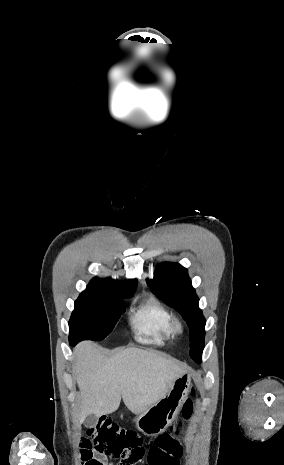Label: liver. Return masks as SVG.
<instances>
[{"label":"liver","mask_w":284,"mask_h":465,"mask_svg":"<svg viewBox=\"0 0 284 465\" xmlns=\"http://www.w3.org/2000/svg\"><path fill=\"white\" fill-rule=\"evenodd\" d=\"M73 353V373L81 391L79 425L88 415L114 413L121 399L131 413H144L165 397L175 379L186 373L184 365H177L174 359L134 347L105 357L101 347L84 341Z\"/></svg>","instance_id":"1"}]
</instances>
